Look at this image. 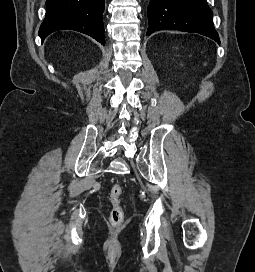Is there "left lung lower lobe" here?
<instances>
[{
	"label": "left lung lower lobe",
	"mask_w": 255,
	"mask_h": 272,
	"mask_svg": "<svg viewBox=\"0 0 255 272\" xmlns=\"http://www.w3.org/2000/svg\"><path fill=\"white\" fill-rule=\"evenodd\" d=\"M212 16L206 0H151L146 35L165 29L195 32L220 44Z\"/></svg>",
	"instance_id": "1"
}]
</instances>
